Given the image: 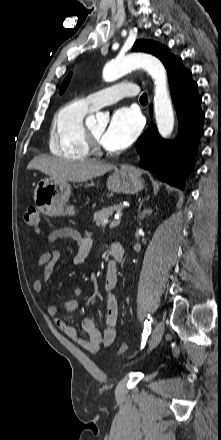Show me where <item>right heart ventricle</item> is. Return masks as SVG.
Wrapping results in <instances>:
<instances>
[{
	"label": "right heart ventricle",
	"instance_id": "right-heart-ventricle-1",
	"mask_svg": "<svg viewBox=\"0 0 221 440\" xmlns=\"http://www.w3.org/2000/svg\"><path fill=\"white\" fill-rule=\"evenodd\" d=\"M92 111L94 109L85 99H73L56 111L49 133V149L52 154L72 160L89 157L84 120Z\"/></svg>",
	"mask_w": 221,
	"mask_h": 440
}]
</instances>
